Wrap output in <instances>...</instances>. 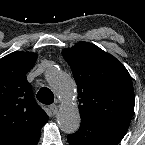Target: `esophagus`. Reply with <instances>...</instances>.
I'll return each instance as SVG.
<instances>
[{
	"label": "esophagus",
	"instance_id": "34e87169",
	"mask_svg": "<svg viewBox=\"0 0 145 145\" xmlns=\"http://www.w3.org/2000/svg\"><path fill=\"white\" fill-rule=\"evenodd\" d=\"M50 111L52 112L53 115L57 114L58 112V107L55 104H52L49 106Z\"/></svg>",
	"mask_w": 145,
	"mask_h": 145
}]
</instances>
